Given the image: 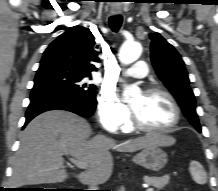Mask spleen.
Wrapping results in <instances>:
<instances>
[{
    "instance_id": "3e777b00",
    "label": "spleen",
    "mask_w": 218,
    "mask_h": 191,
    "mask_svg": "<svg viewBox=\"0 0 218 191\" xmlns=\"http://www.w3.org/2000/svg\"><path fill=\"white\" fill-rule=\"evenodd\" d=\"M189 170H190L193 180L197 184H200V185L206 184L207 174L199 162L194 161V160L191 161Z\"/></svg>"
}]
</instances>
